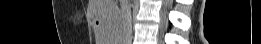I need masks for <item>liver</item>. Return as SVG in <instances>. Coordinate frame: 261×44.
<instances>
[{
    "instance_id": "1",
    "label": "liver",
    "mask_w": 261,
    "mask_h": 44,
    "mask_svg": "<svg viewBox=\"0 0 261 44\" xmlns=\"http://www.w3.org/2000/svg\"><path fill=\"white\" fill-rule=\"evenodd\" d=\"M114 0H89L88 14L93 19V24H124L123 14L119 13V8H114ZM96 31V44H120L123 40V31L119 30V25H94Z\"/></svg>"
}]
</instances>
